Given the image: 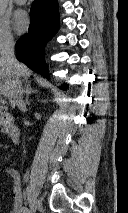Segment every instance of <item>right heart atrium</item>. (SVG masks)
I'll return each instance as SVG.
<instances>
[{
    "mask_svg": "<svg viewBox=\"0 0 128 213\" xmlns=\"http://www.w3.org/2000/svg\"><path fill=\"white\" fill-rule=\"evenodd\" d=\"M13 43L14 34L9 20L4 16H0V49L11 46Z\"/></svg>",
    "mask_w": 128,
    "mask_h": 213,
    "instance_id": "right-heart-atrium-1",
    "label": "right heart atrium"
}]
</instances>
